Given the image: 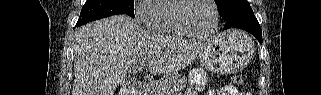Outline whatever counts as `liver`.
<instances>
[{
  "label": "liver",
  "instance_id": "6515ba94",
  "mask_svg": "<svg viewBox=\"0 0 321 95\" xmlns=\"http://www.w3.org/2000/svg\"><path fill=\"white\" fill-rule=\"evenodd\" d=\"M207 42L142 30L128 16L116 15L81 26L74 34L72 95H114L144 61L150 74H169L189 65Z\"/></svg>",
  "mask_w": 321,
  "mask_h": 95
}]
</instances>
